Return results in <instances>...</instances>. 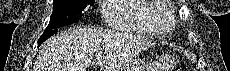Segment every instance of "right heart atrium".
I'll return each instance as SVG.
<instances>
[{
	"label": "right heart atrium",
	"mask_w": 230,
	"mask_h": 71,
	"mask_svg": "<svg viewBox=\"0 0 230 71\" xmlns=\"http://www.w3.org/2000/svg\"><path fill=\"white\" fill-rule=\"evenodd\" d=\"M116 1H120V0H106L105 3L108 6L110 3H113V2H116ZM105 15H106V20H107V7H106V10H105Z\"/></svg>",
	"instance_id": "right-heart-atrium-1"
}]
</instances>
